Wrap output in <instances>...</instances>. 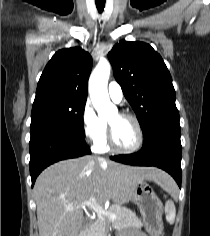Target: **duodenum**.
Here are the masks:
<instances>
[{"instance_id": "obj_1", "label": "duodenum", "mask_w": 210, "mask_h": 236, "mask_svg": "<svg viewBox=\"0 0 210 236\" xmlns=\"http://www.w3.org/2000/svg\"><path fill=\"white\" fill-rule=\"evenodd\" d=\"M79 236H84V234H80Z\"/></svg>"}]
</instances>
